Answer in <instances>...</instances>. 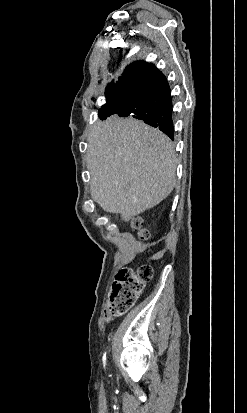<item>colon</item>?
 <instances>
[{
	"instance_id": "colon-1",
	"label": "colon",
	"mask_w": 247,
	"mask_h": 413,
	"mask_svg": "<svg viewBox=\"0 0 247 413\" xmlns=\"http://www.w3.org/2000/svg\"><path fill=\"white\" fill-rule=\"evenodd\" d=\"M131 227L138 231V235L148 240L150 231L143 227L141 218L130 219ZM153 278V267L150 264H140L137 267L123 269L117 280L112 283V292L109 300V313L111 315H123L136 303V300L144 293L147 284Z\"/></svg>"
}]
</instances>
